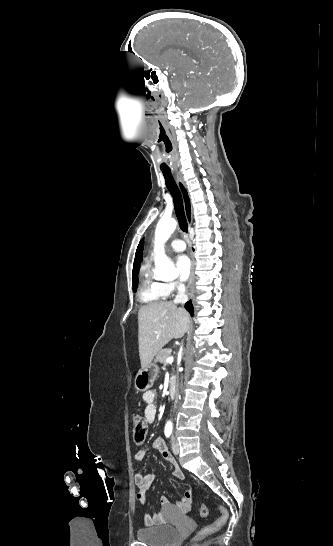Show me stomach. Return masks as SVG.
I'll return each mask as SVG.
<instances>
[{"mask_svg":"<svg viewBox=\"0 0 333 546\" xmlns=\"http://www.w3.org/2000/svg\"><path fill=\"white\" fill-rule=\"evenodd\" d=\"M159 373L157 362H151L146 368H141L135 377V388L139 391L149 390Z\"/></svg>","mask_w":333,"mask_h":546,"instance_id":"1","label":"stomach"}]
</instances>
